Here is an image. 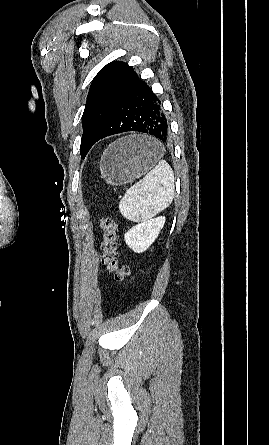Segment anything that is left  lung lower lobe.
Segmentation results:
<instances>
[{
  "label": "left lung lower lobe",
  "mask_w": 269,
  "mask_h": 445,
  "mask_svg": "<svg viewBox=\"0 0 269 445\" xmlns=\"http://www.w3.org/2000/svg\"><path fill=\"white\" fill-rule=\"evenodd\" d=\"M139 131L167 143L170 129L161 102L152 89L134 72L93 145L107 136Z\"/></svg>",
  "instance_id": "obj_1"
}]
</instances>
